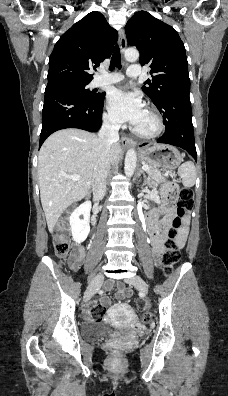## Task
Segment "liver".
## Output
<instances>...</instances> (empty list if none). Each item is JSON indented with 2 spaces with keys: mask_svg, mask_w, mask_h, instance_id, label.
<instances>
[{
  "mask_svg": "<svg viewBox=\"0 0 228 396\" xmlns=\"http://www.w3.org/2000/svg\"><path fill=\"white\" fill-rule=\"evenodd\" d=\"M99 152L98 137L80 129L57 131L43 143L38 155V178L41 204L50 232L62 212L88 194ZM122 153L121 146L113 144L110 162L119 160ZM65 175L81 178L73 181Z\"/></svg>",
  "mask_w": 228,
  "mask_h": 396,
  "instance_id": "liver-1",
  "label": "liver"
}]
</instances>
